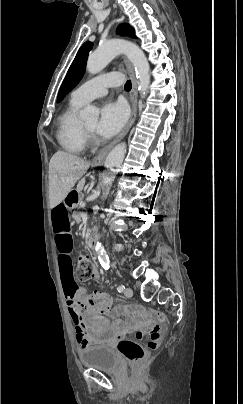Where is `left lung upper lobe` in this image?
I'll list each match as a JSON object with an SVG mask.
<instances>
[{"label": "left lung upper lobe", "instance_id": "left-lung-upper-lobe-1", "mask_svg": "<svg viewBox=\"0 0 243 404\" xmlns=\"http://www.w3.org/2000/svg\"><path fill=\"white\" fill-rule=\"evenodd\" d=\"M117 33H119L121 36L127 35L135 38V32L128 24H121L117 29ZM92 46L93 44L91 42H85L79 49L61 85L57 102H60L81 80L85 71L88 53L92 49Z\"/></svg>", "mask_w": 243, "mask_h": 404}]
</instances>
